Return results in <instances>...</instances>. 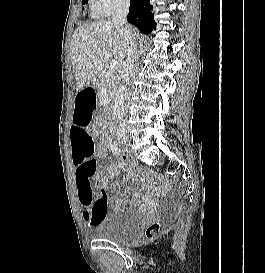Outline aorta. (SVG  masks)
Listing matches in <instances>:
<instances>
[{"label": "aorta", "mask_w": 265, "mask_h": 273, "mask_svg": "<svg viewBox=\"0 0 265 273\" xmlns=\"http://www.w3.org/2000/svg\"><path fill=\"white\" fill-rule=\"evenodd\" d=\"M127 95L126 86L122 85L118 88L116 93L114 94L113 100V111L115 115V119L119 122L123 119L125 115V99Z\"/></svg>", "instance_id": "1"}]
</instances>
